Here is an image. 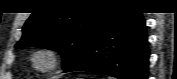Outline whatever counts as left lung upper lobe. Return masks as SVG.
Here are the masks:
<instances>
[{
  "label": "left lung upper lobe",
  "instance_id": "obj_1",
  "mask_svg": "<svg viewBox=\"0 0 177 79\" xmlns=\"http://www.w3.org/2000/svg\"><path fill=\"white\" fill-rule=\"evenodd\" d=\"M106 3L109 2H90L85 11L32 13L23 27V36L15 47L38 46L57 50L62 54L65 68L76 58L106 10L111 7Z\"/></svg>",
  "mask_w": 177,
  "mask_h": 79
}]
</instances>
